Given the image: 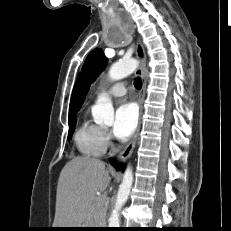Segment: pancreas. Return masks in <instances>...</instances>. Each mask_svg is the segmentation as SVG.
Wrapping results in <instances>:
<instances>
[{
  "label": "pancreas",
  "mask_w": 231,
  "mask_h": 231,
  "mask_svg": "<svg viewBox=\"0 0 231 231\" xmlns=\"http://www.w3.org/2000/svg\"><path fill=\"white\" fill-rule=\"evenodd\" d=\"M95 202H96V205H95L96 211H95V215H93V218H92V220H90V222H92L93 219H95L96 225H103L104 226L106 224V222H105L106 205H105V203H99L97 201V198H96Z\"/></svg>",
  "instance_id": "pancreas-1"
}]
</instances>
